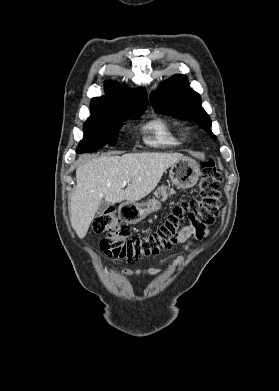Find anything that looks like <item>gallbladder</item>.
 <instances>
[{
    "label": "gallbladder",
    "mask_w": 279,
    "mask_h": 391,
    "mask_svg": "<svg viewBox=\"0 0 279 391\" xmlns=\"http://www.w3.org/2000/svg\"><path fill=\"white\" fill-rule=\"evenodd\" d=\"M109 206H110V203H109V202H107V201H105V200H102V201L100 202V204H99V207H98L96 213H97L98 215L104 213V212L107 210V208H108Z\"/></svg>",
    "instance_id": "bac80fb5"
}]
</instances>
